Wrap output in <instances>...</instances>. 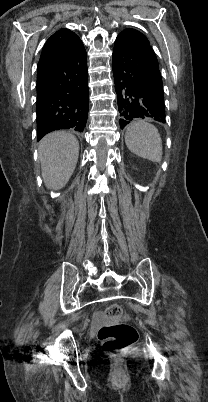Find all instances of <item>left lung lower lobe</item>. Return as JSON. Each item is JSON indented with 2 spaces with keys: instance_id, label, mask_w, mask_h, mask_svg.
<instances>
[{
  "instance_id": "0a47b994",
  "label": "left lung lower lobe",
  "mask_w": 208,
  "mask_h": 402,
  "mask_svg": "<svg viewBox=\"0 0 208 402\" xmlns=\"http://www.w3.org/2000/svg\"><path fill=\"white\" fill-rule=\"evenodd\" d=\"M152 50L135 29H125L116 38L112 68L121 128L135 118L166 122L162 78Z\"/></svg>"
}]
</instances>
